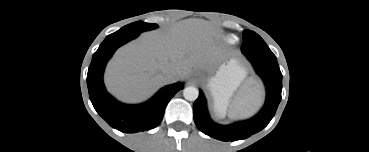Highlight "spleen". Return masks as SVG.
I'll use <instances>...</instances> for the list:
<instances>
[{"instance_id": "obj_1", "label": "spleen", "mask_w": 369, "mask_h": 152, "mask_svg": "<svg viewBox=\"0 0 369 152\" xmlns=\"http://www.w3.org/2000/svg\"><path fill=\"white\" fill-rule=\"evenodd\" d=\"M262 104V91L244 92L231 106L229 116L233 119L252 115Z\"/></svg>"}]
</instances>
